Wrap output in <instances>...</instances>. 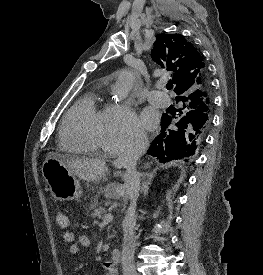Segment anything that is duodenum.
<instances>
[{
	"label": "duodenum",
	"instance_id": "duodenum-1",
	"mask_svg": "<svg viewBox=\"0 0 263 275\" xmlns=\"http://www.w3.org/2000/svg\"><path fill=\"white\" fill-rule=\"evenodd\" d=\"M122 254L120 250L114 249L111 252L110 258L105 260L103 265L109 271H114L115 267L121 262Z\"/></svg>",
	"mask_w": 263,
	"mask_h": 275
}]
</instances>
